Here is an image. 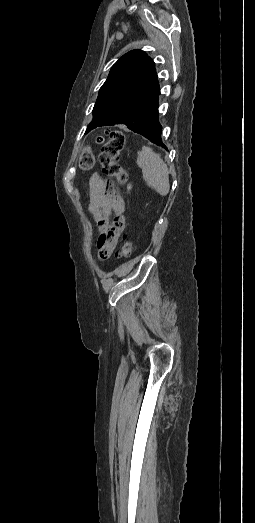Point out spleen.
<instances>
[{"label": "spleen", "instance_id": "1", "mask_svg": "<svg viewBox=\"0 0 255 523\" xmlns=\"http://www.w3.org/2000/svg\"><path fill=\"white\" fill-rule=\"evenodd\" d=\"M137 166L141 168L146 184L160 196H167L170 190L168 168L159 154L143 146L142 150L137 152Z\"/></svg>", "mask_w": 255, "mask_h": 523}]
</instances>
